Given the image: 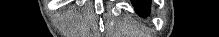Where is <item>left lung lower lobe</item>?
Segmentation results:
<instances>
[{
    "label": "left lung lower lobe",
    "instance_id": "1",
    "mask_svg": "<svg viewBox=\"0 0 219 37\" xmlns=\"http://www.w3.org/2000/svg\"><path fill=\"white\" fill-rule=\"evenodd\" d=\"M132 3L137 13H139V15L146 16L147 14H149L150 0H133Z\"/></svg>",
    "mask_w": 219,
    "mask_h": 37
}]
</instances>
